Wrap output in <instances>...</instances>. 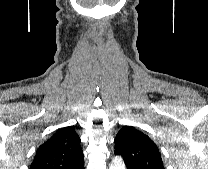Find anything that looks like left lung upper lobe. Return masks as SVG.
I'll return each instance as SVG.
<instances>
[{
  "label": "left lung upper lobe",
  "instance_id": "5c2ea615",
  "mask_svg": "<svg viewBox=\"0 0 208 169\" xmlns=\"http://www.w3.org/2000/svg\"><path fill=\"white\" fill-rule=\"evenodd\" d=\"M115 154L129 169H165L156 144L132 126H124L115 137Z\"/></svg>",
  "mask_w": 208,
  "mask_h": 169
}]
</instances>
